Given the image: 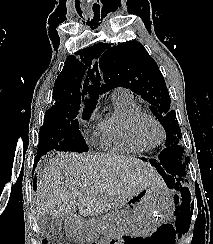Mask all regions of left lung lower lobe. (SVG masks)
Returning a JSON list of instances; mask_svg holds the SVG:
<instances>
[{"instance_id": "left-lung-lower-lobe-1", "label": "left lung lower lobe", "mask_w": 213, "mask_h": 244, "mask_svg": "<svg viewBox=\"0 0 213 244\" xmlns=\"http://www.w3.org/2000/svg\"><path fill=\"white\" fill-rule=\"evenodd\" d=\"M150 163L158 169L159 173L163 176L166 183L174 186L175 188L181 186V183L177 182L174 178V175L171 173V162L166 153H160L157 158L151 159Z\"/></svg>"}]
</instances>
